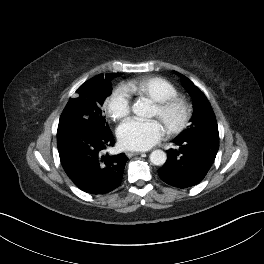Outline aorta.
I'll list each match as a JSON object with an SVG mask.
<instances>
[{"label":"aorta","instance_id":"aorta-1","mask_svg":"<svg viewBox=\"0 0 264 264\" xmlns=\"http://www.w3.org/2000/svg\"><path fill=\"white\" fill-rule=\"evenodd\" d=\"M134 114L140 117L150 116L151 107L147 102L137 101L132 106ZM167 155L162 150H154L150 154V161L156 166H162L165 164Z\"/></svg>","mask_w":264,"mask_h":264}]
</instances>
